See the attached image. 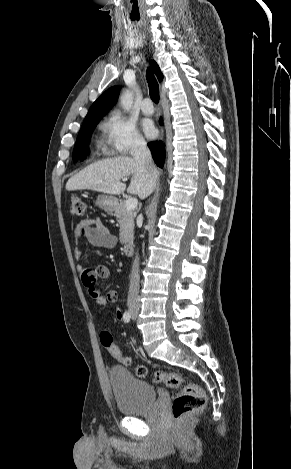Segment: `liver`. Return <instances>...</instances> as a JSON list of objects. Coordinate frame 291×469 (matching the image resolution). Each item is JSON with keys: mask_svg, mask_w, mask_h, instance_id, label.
Instances as JSON below:
<instances>
[{"mask_svg": "<svg viewBox=\"0 0 291 469\" xmlns=\"http://www.w3.org/2000/svg\"><path fill=\"white\" fill-rule=\"evenodd\" d=\"M128 176H131V182L127 192L145 199L156 186L158 171L155 167L148 168L129 156L107 158L72 176L66 183V190L88 189L119 195L126 190V184L121 180Z\"/></svg>", "mask_w": 291, "mask_h": 469, "instance_id": "1", "label": "liver"}]
</instances>
